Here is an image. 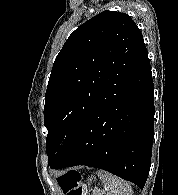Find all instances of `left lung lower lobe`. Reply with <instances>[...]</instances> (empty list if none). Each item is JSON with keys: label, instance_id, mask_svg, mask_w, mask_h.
Listing matches in <instances>:
<instances>
[{"label": "left lung lower lobe", "instance_id": "left-lung-lower-lobe-1", "mask_svg": "<svg viewBox=\"0 0 178 195\" xmlns=\"http://www.w3.org/2000/svg\"><path fill=\"white\" fill-rule=\"evenodd\" d=\"M154 86L147 60L93 112L53 169L86 165L144 188L152 154Z\"/></svg>", "mask_w": 178, "mask_h": 195}]
</instances>
